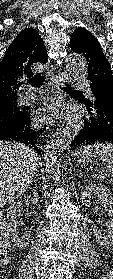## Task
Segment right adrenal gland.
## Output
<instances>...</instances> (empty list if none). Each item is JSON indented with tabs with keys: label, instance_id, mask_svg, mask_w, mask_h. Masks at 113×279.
<instances>
[{
	"label": "right adrenal gland",
	"instance_id": "2a0ac1e0",
	"mask_svg": "<svg viewBox=\"0 0 113 279\" xmlns=\"http://www.w3.org/2000/svg\"><path fill=\"white\" fill-rule=\"evenodd\" d=\"M37 176H38L37 174L34 175V177H33V180H34V181H35V178H36Z\"/></svg>",
	"mask_w": 113,
	"mask_h": 279
}]
</instances>
